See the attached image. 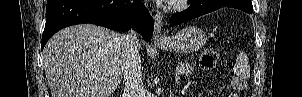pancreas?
<instances>
[{"label":"pancreas","instance_id":"1","mask_svg":"<svg viewBox=\"0 0 302 97\" xmlns=\"http://www.w3.org/2000/svg\"><path fill=\"white\" fill-rule=\"evenodd\" d=\"M178 73L183 74L185 76H189L193 71V65L187 62L178 64Z\"/></svg>","mask_w":302,"mask_h":97}]
</instances>
